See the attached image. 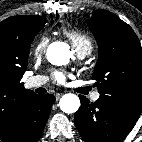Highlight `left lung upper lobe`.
<instances>
[{"instance_id": "5c2ea615", "label": "left lung upper lobe", "mask_w": 142, "mask_h": 142, "mask_svg": "<svg viewBox=\"0 0 142 142\" xmlns=\"http://www.w3.org/2000/svg\"><path fill=\"white\" fill-rule=\"evenodd\" d=\"M89 28L98 43L92 78L100 98L129 111H142V48L132 28L107 10L93 11Z\"/></svg>"}]
</instances>
